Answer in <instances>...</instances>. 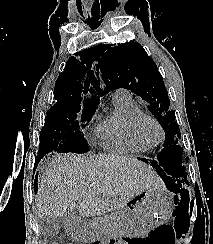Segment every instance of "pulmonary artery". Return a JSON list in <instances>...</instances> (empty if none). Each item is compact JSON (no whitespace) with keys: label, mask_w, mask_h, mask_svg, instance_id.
<instances>
[{"label":"pulmonary artery","mask_w":213,"mask_h":244,"mask_svg":"<svg viewBox=\"0 0 213 244\" xmlns=\"http://www.w3.org/2000/svg\"><path fill=\"white\" fill-rule=\"evenodd\" d=\"M113 96H125V97H127V96H131V95L128 92V90H126V89H117L113 92L112 97Z\"/></svg>","instance_id":"e3ab8cb5"}]
</instances>
